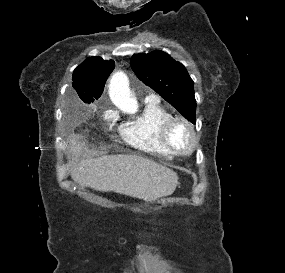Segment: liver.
<instances>
[{
    "label": "liver",
    "instance_id": "6515ba94",
    "mask_svg": "<svg viewBox=\"0 0 285 273\" xmlns=\"http://www.w3.org/2000/svg\"><path fill=\"white\" fill-rule=\"evenodd\" d=\"M83 146L79 136L72 137L70 149L76 162L71 178L82 187L153 201L171 195L177 186V173L154 160L133 154L93 158L83 154Z\"/></svg>",
    "mask_w": 285,
    "mask_h": 273
}]
</instances>
